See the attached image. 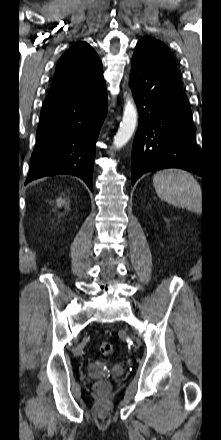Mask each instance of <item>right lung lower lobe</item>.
<instances>
[{"label": "right lung lower lobe", "mask_w": 221, "mask_h": 440, "mask_svg": "<svg viewBox=\"0 0 221 440\" xmlns=\"http://www.w3.org/2000/svg\"><path fill=\"white\" fill-rule=\"evenodd\" d=\"M106 114L104 81L91 88L50 93L42 107L26 183L71 174L92 190L95 147Z\"/></svg>", "instance_id": "obj_1"}]
</instances>
